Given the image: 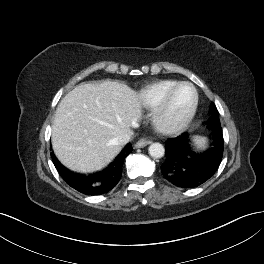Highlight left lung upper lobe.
Masks as SVG:
<instances>
[{"mask_svg":"<svg viewBox=\"0 0 264 264\" xmlns=\"http://www.w3.org/2000/svg\"><path fill=\"white\" fill-rule=\"evenodd\" d=\"M209 111L213 114V117L206 122L207 126L211 129L217 128V127L221 128L220 119L218 118V111H217L214 103H211Z\"/></svg>","mask_w":264,"mask_h":264,"instance_id":"obj_1","label":"left lung upper lobe"}]
</instances>
